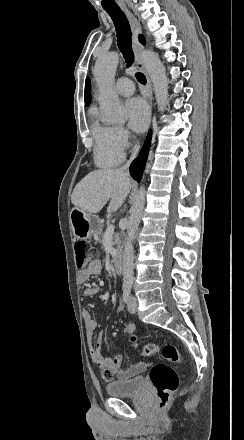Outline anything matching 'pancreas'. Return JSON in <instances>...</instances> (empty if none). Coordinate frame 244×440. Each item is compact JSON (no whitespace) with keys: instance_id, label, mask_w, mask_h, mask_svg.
<instances>
[{"instance_id":"1","label":"pancreas","mask_w":244,"mask_h":440,"mask_svg":"<svg viewBox=\"0 0 244 440\" xmlns=\"http://www.w3.org/2000/svg\"><path fill=\"white\" fill-rule=\"evenodd\" d=\"M100 236H101V234H100ZM114 240H115L114 244H117V246H120L121 240L119 238V234H114Z\"/></svg>"}]
</instances>
